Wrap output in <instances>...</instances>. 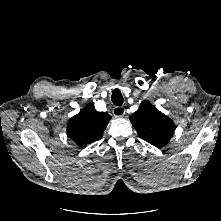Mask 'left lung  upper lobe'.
<instances>
[{
	"label": "left lung upper lobe",
	"instance_id": "5c2ea615",
	"mask_svg": "<svg viewBox=\"0 0 221 221\" xmlns=\"http://www.w3.org/2000/svg\"><path fill=\"white\" fill-rule=\"evenodd\" d=\"M129 119L138 135L158 148L166 145L174 134L173 121L149 101H143Z\"/></svg>",
	"mask_w": 221,
	"mask_h": 221
}]
</instances>
